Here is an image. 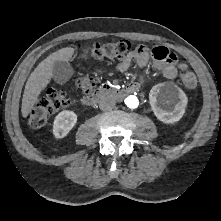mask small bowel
<instances>
[{"label":"small bowel","instance_id":"obj_1","mask_svg":"<svg viewBox=\"0 0 221 221\" xmlns=\"http://www.w3.org/2000/svg\"><path fill=\"white\" fill-rule=\"evenodd\" d=\"M150 57L154 61L155 67L167 79H174L177 77L179 71L188 70L185 64L178 62L177 55L169 51L166 47L156 46L150 51L147 46L139 45L116 65V71L126 72L133 60L136 61L140 68H144L148 64ZM136 85L141 87L143 79L140 78Z\"/></svg>","mask_w":221,"mask_h":221}]
</instances>
